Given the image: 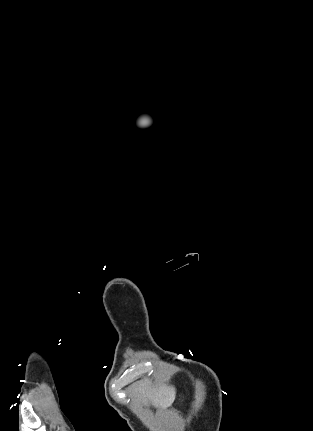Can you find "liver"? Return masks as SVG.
Returning <instances> with one entry per match:
<instances>
[{
	"label": "liver",
	"instance_id": "6515ba94",
	"mask_svg": "<svg viewBox=\"0 0 313 431\" xmlns=\"http://www.w3.org/2000/svg\"><path fill=\"white\" fill-rule=\"evenodd\" d=\"M136 393L143 401L146 402L149 399L156 408L165 409L174 402L176 390L168 386L152 388L149 382L145 381L139 384Z\"/></svg>",
	"mask_w": 313,
	"mask_h": 431
}]
</instances>
